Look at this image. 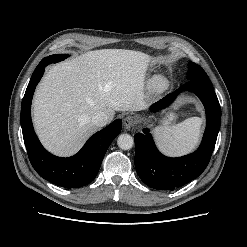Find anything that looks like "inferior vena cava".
<instances>
[{
	"instance_id": "inferior-vena-cava-1",
	"label": "inferior vena cava",
	"mask_w": 247,
	"mask_h": 247,
	"mask_svg": "<svg viewBox=\"0 0 247 247\" xmlns=\"http://www.w3.org/2000/svg\"><path fill=\"white\" fill-rule=\"evenodd\" d=\"M91 122L96 127H103L109 122V117L106 113L99 112L92 117Z\"/></svg>"
}]
</instances>
